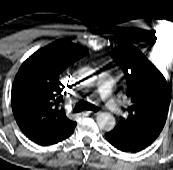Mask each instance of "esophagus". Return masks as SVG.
<instances>
[{
    "label": "esophagus",
    "mask_w": 173,
    "mask_h": 170,
    "mask_svg": "<svg viewBox=\"0 0 173 170\" xmlns=\"http://www.w3.org/2000/svg\"><path fill=\"white\" fill-rule=\"evenodd\" d=\"M83 114L86 115V116H89V115L97 116L99 114V112L84 111Z\"/></svg>",
    "instance_id": "34e87169"
}]
</instances>
